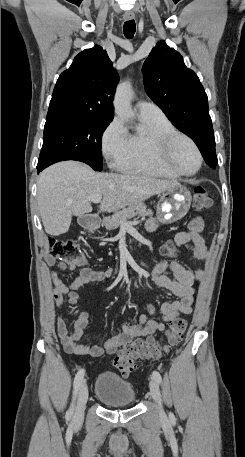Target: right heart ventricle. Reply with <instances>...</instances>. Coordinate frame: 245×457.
Listing matches in <instances>:
<instances>
[{"instance_id":"right-heart-ventricle-1","label":"right heart ventricle","mask_w":245,"mask_h":457,"mask_svg":"<svg viewBox=\"0 0 245 457\" xmlns=\"http://www.w3.org/2000/svg\"><path fill=\"white\" fill-rule=\"evenodd\" d=\"M141 121L143 131L129 134V142L125 150L120 155L114 157L115 166L126 170L173 177L174 175L158 169L147 159L145 155L144 141L149 132L157 131L161 133H168L171 131H177L176 127L163 114L152 117H141ZM164 151L165 150H161L160 154L164 153Z\"/></svg>"}]
</instances>
